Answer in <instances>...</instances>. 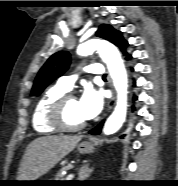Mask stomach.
<instances>
[{"label":"stomach","mask_w":178,"mask_h":186,"mask_svg":"<svg viewBox=\"0 0 178 186\" xmlns=\"http://www.w3.org/2000/svg\"><path fill=\"white\" fill-rule=\"evenodd\" d=\"M95 145H96V142L94 140L83 141L78 145L77 150L81 154H88L92 152ZM32 181H38V180H32ZM31 185H39V183L35 182V183H32Z\"/></svg>","instance_id":"1"}]
</instances>
